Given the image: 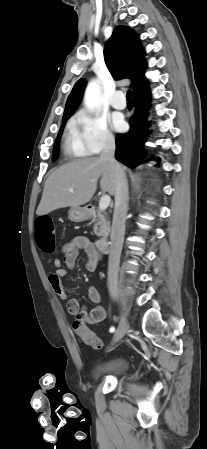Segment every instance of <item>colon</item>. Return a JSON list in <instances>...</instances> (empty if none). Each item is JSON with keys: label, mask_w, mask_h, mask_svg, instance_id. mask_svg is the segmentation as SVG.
I'll return each instance as SVG.
<instances>
[{"label": "colon", "mask_w": 207, "mask_h": 449, "mask_svg": "<svg viewBox=\"0 0 207 449\" xmlns=\"http://www.w3.org/2000/svg\"><path fill=\"white\" fill-rule=\"evenodd\" d=\"M53 224L49 217L41 216L36 219V241L42 252L52 253L55 250V236ZM74 331L82 338L85 344L94 349L102 347L101 339L84 324L81 319L73 321Z\"/></svg>", "instance_id": "colon-1"}]
</instances>
